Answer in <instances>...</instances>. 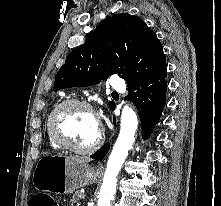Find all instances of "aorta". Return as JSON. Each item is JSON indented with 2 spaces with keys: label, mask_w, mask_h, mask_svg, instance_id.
<instances>
[{
  "label": "aorta",
  "mask_w": 221,
  "mask_h": 206,
  "mask_svg": "<svg viewBox=\"0 0 221 206\" xmlns=\"http://www.w3.org/2000/svg\"><path fill=\"white\" fill-rule=\"evenodd\" d=\"M137 125L138 120L134 110L128 105L124 106L120 133L107 161L97 206H111L116 193L117 176L134 142Z\"/></svg>",
  "instance_id": "obj_1"
}]
</instances>
